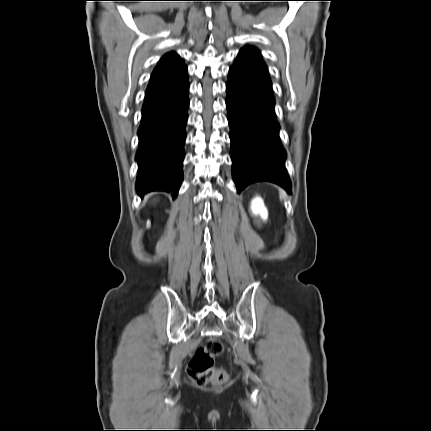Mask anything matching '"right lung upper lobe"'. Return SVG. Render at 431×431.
Returning <instances> with one entry per match:
<instances>
[{
  "mask_svg": "<svg viewBox=\"0 0 431 431\" xmlns=\"http://www.w3.org/2000/svg\"><path fill=\"white\" fill-rule=\"evenodd\" d=\"M187 68L174 52L166 54L152 73L145 98L154 96L187 76Z\"/></svg>",
  "mask_w": 431,
  "mask_h": 431,
  "instance_id": "obj_1",
  "label": "right lung upper lobe"
}]
</instances>
